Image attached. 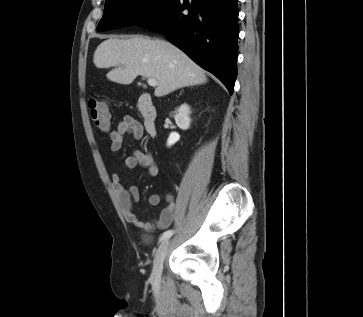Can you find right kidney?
Returning <instances> with one entry per match:
<instances>
[{
  "label": "right kidney",
  "instance_id": "obj_1",
  "mask_svg": "<svg viewBox=\"0 0 363 317\" xmlns=\"http://www.w3.org/2000/svg\"><path fill=\"white\" fill-rule=\"evenodd\" d=\"M177 114L175 115V122L177 126L182 130H187L190 126L191 119L189 117L190 107L187 104H182L177 109Z\"/></svg>",
  "mask_w": 363,
  "mask_h": 317
}]
</instances>
